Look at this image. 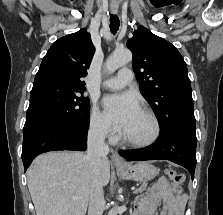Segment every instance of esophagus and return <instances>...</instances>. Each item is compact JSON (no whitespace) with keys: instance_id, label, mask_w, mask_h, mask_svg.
<instances>
[{"instance_id":"esophagus-1","label":"esophagus","mask_w":223,"mask_h":215,"mask_svg":"<svg viewBox=\"0 0 223 215\" xmlns=\"http://www.w3.org/2000/svg\"><path fill=\"white\" fill-rule=\"evenodd\" d=\"M111 12L113 14H116L118 12V9H111ZM111 160L112 163L116 166V167H124L126 165L125 160L120 157L119 153L117 151H113L112 156H111Z\"/></svg>"}]
</instances>
